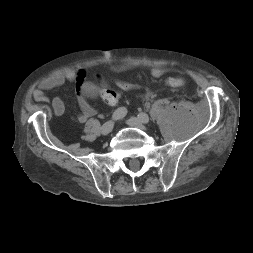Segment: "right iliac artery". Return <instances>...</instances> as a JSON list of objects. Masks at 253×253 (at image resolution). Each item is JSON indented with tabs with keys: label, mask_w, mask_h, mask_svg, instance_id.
Instances as JSON below:
<instances>
[{
	"label": "right iliac artery",
	"mask_w": 253,
	"mask_h": 253,
	"mask_svg": "<svg viewBox=\"0 0 253 253\" xmlns=\"http://www.w3.org/2000/svg\"><path fill=\"white\" fill-rule=\"evenodd\" d=\"M127 114V109L125 107H120L112 115V119L119 120L123 117H125Z\"/></svg>",
	"instance_id": "obj_1"
}]
</instances>
